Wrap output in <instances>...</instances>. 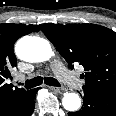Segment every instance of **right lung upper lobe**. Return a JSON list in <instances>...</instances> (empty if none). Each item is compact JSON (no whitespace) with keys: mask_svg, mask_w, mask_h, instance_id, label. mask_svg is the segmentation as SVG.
<instances>
[{"mask_svg":"<svg viewBox=\"0 0 116 116\" xmlns=\"http://www.w3.org/2000/svg\"><path fill=\"white\" fill-rule=\"evenodd\" d=\"M41 25L0 24V116H5L12 107L28 92L23 88L7 84L10 69L16 66L14 44L22 36L40 30Z\"/></svg>","mask_w":116,"mask_h":116,"instance_id":"cb5924a9","label":"right lung upper lobe"}]
</instances>
